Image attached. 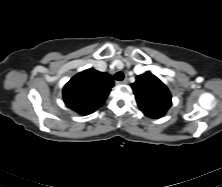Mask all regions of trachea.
I'll use <instances>...</instances> for the list:
<instances>
[{"instance_id": "obj_1", "label": "trachea", "mask_w": 222, "mask_h": 187, "mask_svg": "<svg viewBox=\"0 0 222 187\" xmlns=\"http://www.w3.org/2000/svg\"><path fill=\"white\" fill-rule=\"evenodd\" d=\"M115 80L122 81L124 79V74L122 72H117L114 76Z\"/></svg>"}]
</instances>
